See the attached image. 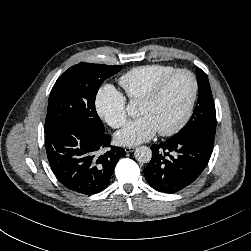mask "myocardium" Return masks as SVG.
<instances>
[{"label":"myocardium","mask_w":251,"mask_h":251,"mask_svg":"<svg viewBox=\"0 0 251 251\" xmlns=\"http://www.w3.org/2000/svg\"><path fill=\"white\" fill-rule=\"evenodd\" d=\"M185 74L187 75L191 81H192V94L191 98L189 100L188 106L186 108V111L182 118L179 120V122L174 125L173 127L167 129V130H160L157 131L160 136H172L176 133H178L189 121L193 111L194 107L197 101L198 97V91H199V84L198 80L193 72L187 69H178L163 78L161 81H159L141 100L140 103L143 104H151L154 101H156L159 96L162 94V92L165 90V88L168 86V84L178 75Z\"/></svg>","instance_id":"1"}]
</instances>
